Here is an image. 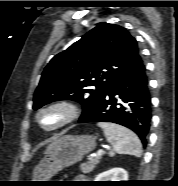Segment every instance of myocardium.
Returning <instances> with one entry per match:
<instances>
[{
    "label": "myocardium",
    "instance_id": "1",
    "mask_svg": "<svg viewBox=\"0 0 178 186\" xmlns=\"http://www.w3.org/2000/svg\"><path fill=\"white\" fill-rule=\"evenodd\" d=\"M54 109H58V110L62 111L63 118L56 125H54L52 127H45L41 123L40 117L43 113L50 111V110H54ZM80 113H81L80 108L75 102L70 101V100H58V101H53L51 103H48V104L40 107L35 114V121H36L37 125L43 131L48 132V133H53V132L59 131V130L69 126L70 124L74 123L79 118Z\"/></svg>",
    "mask_w": 178,
    "mask_h": 186
}]
</instances>
